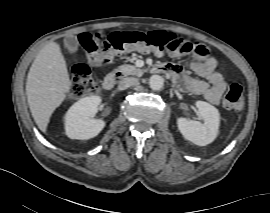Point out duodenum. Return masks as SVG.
I'll list each match as a JSON object with an SVG mask.
<instances>
[{
    "instance_id": "1",
    "label": "duodenum",
    "mask_w": 270,
    "mask_h": 213,
    "mask_svg": "<svg viewBox=\"0 0 270 213\" xmlns=\"http://www.w3.org/2000/svg\"><path fill=\"white\" fill-rule=\"evenodd\" d=\"M153 71L156 73H165L166 70L161 67L153 68ZM125 75L122 72H116L105 77L102 82V88L106 91L112 90L118 81L124 79Z\"/></svg>"
}]
</instances>
